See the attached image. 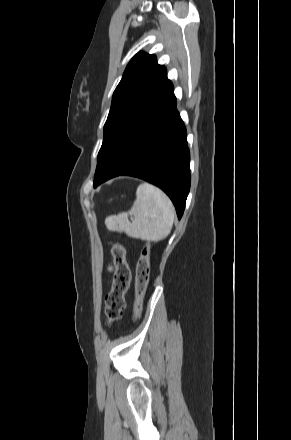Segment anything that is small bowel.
<instances>
[{
    "label": "small bowel",
    "instance_id": "obj_1",
    "mask_svg": "<svg viewBox=\"0 0 291 440\" xmlns=\"http://www.w3.org/2000/svg\"><path fill=\"white\" fill-rule=\"evenodd\" d=\"M108 270H109V271H112V268H111V267H109V268H108Z\"/></svg>",
    "mask_w": 291,
    "mask_h": 440
}]
</instances>
